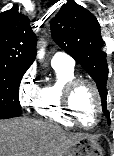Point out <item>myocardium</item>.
<instances>
[{"label": "myocardium", "instance_id": "obj_1", "mask_svg": "<svg viewBox=\"0 0 114 156\" xmlns=\"http://www.w3.org/2000/svg\"><path fill=\"white\" fill-rule=\"evenodd\" d=\"M86 85L88 87H90V89L93 91L95 99H96V105H97V110H96V116H95V120L93 122L92 125L90 126H86L82 123V121L80 120L79 116L77 115L74 107H73V96L76 92V90L80 87ZM63 107L66 111V113L68 114V116L74 121L75 124L79 125L82 128H86V129H90L95 127L101 117L102 111H103V104H102V99H101V95L99 92V89L97 87V85L86 78H74L73 80L69 81L65 88H64V92H63Z\"/></svg>", "mask_w": 114, "mask_h": 156}]
</instances>
